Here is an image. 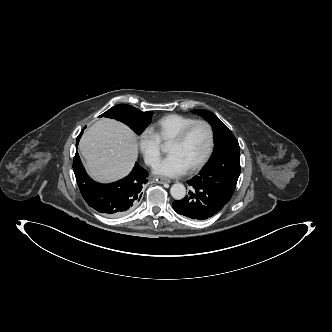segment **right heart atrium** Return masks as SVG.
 I'll list each match as a JSON object with an SVG mask.
<instances>
[{
    "mask_svg": "<svg viewBox=\"0 0 332 332\" xmlns=\"http://www.w3.org/2000/svg\"><path fill=\"white\" fill-rule=\"evenodd\" d=\"M138 146L145 163L156 165L160 157V141L151 129H144L139 134Z\"/></svg>",
    "mask_w": 332,
    "mask_h": 332,
    "instance_id": "1",
    "label": "right heart atrium"
}]
</instances>
